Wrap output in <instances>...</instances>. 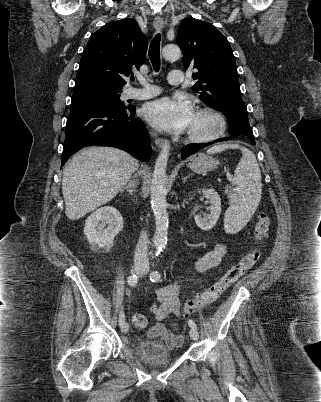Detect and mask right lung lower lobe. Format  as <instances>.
Here are the masks:
<instances>
[{"mask_svg": "<svg viewBox=\"0 0 321 402\" xmlns=\"http://www.w3.org/2000/svg\"><path fill=\"white\" fill-rule=\"evenodd\" d=\"M135 110V106L71 105L61 167L71 155L89 145L116 147L140 161H148L152 152L150 139L142 120L135 117Z\"/></svg>", "mask_w": 321, "mask_h": 402, "instance_id": "right-lung-lower-lobe-1", "label": "right lung lower lobe"}]
</instances>
